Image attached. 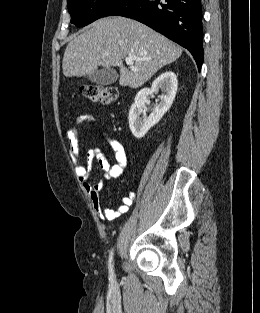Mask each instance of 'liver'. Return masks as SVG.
<instances>
[{
  "label": "liver",
  "instance_id": "obj_1",
  "mask_svg": "<svg viewBox=\"0 0 260 313\" xmlns=\"http://www.w3.org/2000/svg\"><path fill=\"white\" fill-rule=\"evenodd\" d=\"M181 54V47L150 27L126 17H107L72 38L64 52L62 69L66 77H81L100 66H118L119 84L138 88ZM127 57L137 58L133 67L123 65Z\"/></svg>",
  "mask_w": 260,
  "mask_h": 313
}]
</instances>
